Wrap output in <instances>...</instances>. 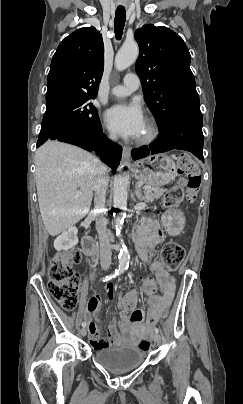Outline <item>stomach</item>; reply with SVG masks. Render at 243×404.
<instances>
[{
	"label": "stomach",
	"mask_w": 243,
	"mask_h": 404,
	"mask_svg": "<svg viewBox=\"0 0 243 404\" xmlns=\"http://www.w3.org/2000/svg\"><path fill=\"white\" fill-rule=\"evenodd\" d=\"M133 171L139 182L153 187L164 186L177 176L174 160L164 153L137 161ZM163 224L171 234H178L184 228L185 218L180 211L170 210L163 217Z\"/></svg>",
	"instance_id": "stomach-1"
}]
</instances>
